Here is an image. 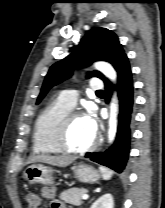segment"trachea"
I'll list each match as a JSON object with an SVG mask.
<instances>
[{
	"label": "trachea",
	"mask_w": 165,
	"mask_h": 208,
	"mask_svg": "<svg viewBox=\"0 0 165 208\" xmlns=\"http://www.w3.org/2000/svg\"><path fill=\"white\" fill-rule=\"evenodd\" d=\"M96 94H97V95L103 94V91H98V92H96Z\"/></svg>",
	"instance_id": "3493384b"
}]
</instances>
